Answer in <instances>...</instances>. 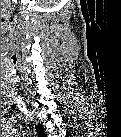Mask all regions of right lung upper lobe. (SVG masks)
Listing matches in <instances>:
<instances>
[{"label": "right lung upper lobe", "instance_id": "cb5924a9", "mask_svg": "<svg viewBox=\"0 0 121 137\" xmlns=\"http://www.w3.org/2000/svg\"><path fill=\"white\" fill-rule=\"evenodd\" d=\"M38 130H40V132L43 133L42 125H38Z\"/></svg>", "mask_w": 121, "mask_h": 137}]
</instances>
